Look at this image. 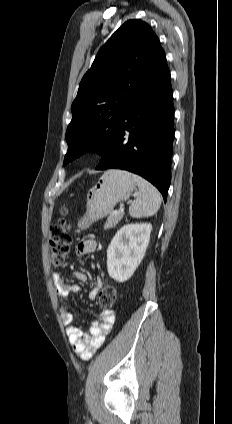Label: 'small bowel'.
<instances>
[{
  "label": "small bowel",
  "instance_id": "1",
  "mask_svg": "<svg viewBox=\"0 0 232 424\" xmlns=\"http://www.w3.org/2000/svg\"><path fill=\"white\" fill-rule=\"evenodd\" d=\"M97 247L98 241L95 238H87L76 245L75 253L77 256L83 257L95 252ZM72 277L82 283L88 281L87 274L81 271L73 272ZM52 281L58 297L64 301H67L72 294L78 293L81 290L80 286L70 283L60 273H54L52 275ZM102 286V279L97 278L95 285L88 293V297L92 300L96 299ZM60 316L62 322L66 326V333L71 347L75 354L83 360L90 359L103 345L106 335L111 331L115 322L114 311L104 310L100 313L98 318L94 320L90 331L88 333H84L81 329L75 326L74 320L76 318V313L68 310L67 302H64L60 311Z\"/></svg>",
  "mask_w": 232,
  "mask_h": 424
}]
</instances>
